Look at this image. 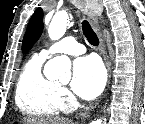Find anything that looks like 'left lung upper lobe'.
Here are the masks:
<instances>
[{
    "label": "left lung upper lobe",
    "instance_id": "5c2ea615",
    "mask_svg": "<svg viewBox=\"0 0 145 124\" xmlns=\"http://www.w3.org/2000/svg\"><path fill=\"white\" fill-rule=\"evenodd\" d=\"M43 30V11L38 8L31 17L22 41V51L26 53L39 39Z\"/></svg>",
    "mask_w": 145,
    "mask_h": 124
}]
</instances>
